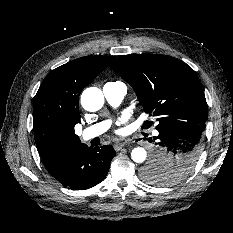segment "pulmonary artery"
<instances>
[{
  "label": "pulmonary artery",
  "instance_id": "obj_1",
  "mask_svg": "<svg viewBox=\"0 0 233 233\" xmlns=\"http://www.w3.org/2000/svg\"><path fill=\"white\" fill-rule=\"evenodd\" d=\"M127 89L126 86L121 82H109L103 86V94L112 106H118L124 99ZM110 126L109 121H103L94 124L90 127L85 128L81 132V137L84 141L93 139L101 134H103ZM157 134V132H156Z\"/></svg>",
  "mask_w": 233,
  "mask_h": 233
}]
</instances>
